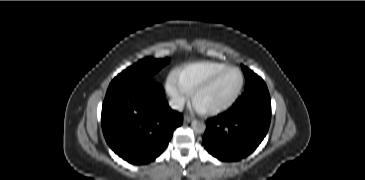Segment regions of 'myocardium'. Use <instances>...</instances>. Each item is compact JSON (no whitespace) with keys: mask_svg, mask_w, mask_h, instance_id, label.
<instances>
[{"mask_svg":"<svg viewBox=\"0 0 365 180\" xmlns=\"http://www.w3.org/2000/svg\"><path fill=\"white\" fill-rule=\"evenodd\" d=\"M230 70H236L237 72H239L240 77H241V83H240V86H239L237 92L235 93V95L232 97V99L230 101H228L227 103H225L221 106L214 107L211 109H201L200 112L207 114V115H216V114H220L222 112L227 111L228 109H230L231 107H233L236 104V102L238 101V99L240 98V96L244 90L245 82H246L244 72L242 71V69H240L237 66H227L226 68L213 74L211 77H209L205 82H203L201 85H199L191 93V99H192L193 103L195 104V99L200 92H202L203 90L208 88L210 85H212L214 83V81L217 78H219L221 75H223L224 73H226L227 71H230Z\"/></svg>","mask_w":365,"mask_h":180,"instance_id":"f54148a6","label":"myocardium"}]
</instances>
